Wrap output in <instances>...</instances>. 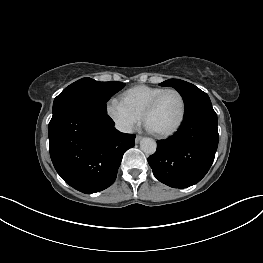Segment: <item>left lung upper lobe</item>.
I'll return each mask as SVG.
<instances>
[{
  "mask_svg": "<svg viewBox=\"0 0 263 263\" xmlns=\"http://www.w3.org/2000/svg\"><path fill=\"white\" fill-rule=\"evenodd\" d=\"M160 85L172 86L181 94L185 103L184 116L203 108L212 107L208 95L191 83L179 79H169Z\"/></svg>",
  "mask_w": 263,
  "mask_h": 263,
  "instance_id": "5c2ea615",
  "label": "left lung upper lobe"
}]
</instances>
